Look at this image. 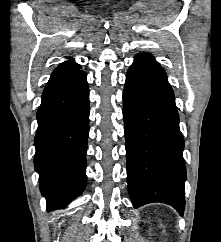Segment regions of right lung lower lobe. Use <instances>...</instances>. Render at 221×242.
Wrapping results in <instances>:
<instances>
[{
	"label": "right lung lower lobe",
	"mask_w": 221,
	"mask_h": 242,
	"mask_svg": "<svg viewBox=\"0 0 221 242\" xmlns=\"http://www.w3.org/2000/svg\"><path fill=\"white\" fill-rule=\"evenodd\" d=\"M37 121L34 163L51 211L66 206L86 186L89 90L83 71L47 83Z\"/></svg>",
	"instance_id": "obj_1"
}]
</instances>
